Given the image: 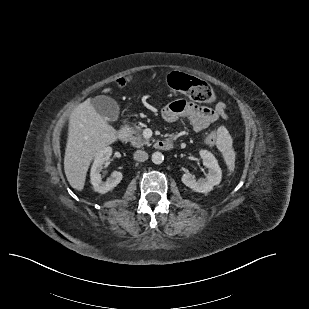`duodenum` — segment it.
<instances>
[{
  "label": "duodenum",
  "instance_id": "1",
  "mask_svg": "<svg viewBox=\"0 0 309 309\" xmlns=\"http://www.w3.org/2000/svg\"><path fill=\"white\" fill-rule=\"evenodd\" d=\"M117 137L121 142H126L129 137V131L126 128H122L118 130ZM154 147L158 150L167 151L173 147V141L168 138H161L154 143Z\"/></svg>",
  "mask_w": 309,
  "mask_h": 309
}]
</instances>
